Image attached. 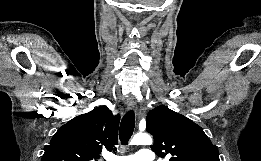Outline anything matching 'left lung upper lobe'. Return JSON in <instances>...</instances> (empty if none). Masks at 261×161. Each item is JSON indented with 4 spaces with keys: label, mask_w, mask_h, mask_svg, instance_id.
I'll return each instance as SVG.
<instances>
[{
    "label": "left lung upper lobe",
    "mask_w": 261,
    "mask_h": 161,
    "mask_svg": "<svg viewBox=\"0 0 261 161\" xmlns=\"http://www.w3.org/2000/svg\"><path fill=\"white\" fill-rule=\"evenodd\" d=\"M146 130L153 135L151 149L169 161H220L216 145H213L203 129L165 106L151 110L146 118Z\"/></svg>",
    "instance_id": "5c2ea615"
}]
</instances>
